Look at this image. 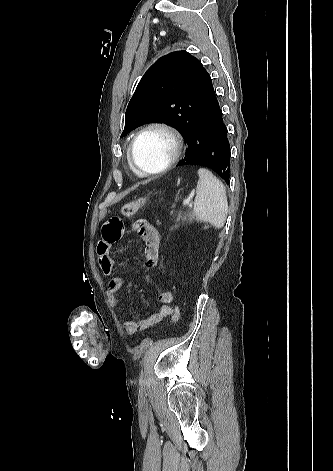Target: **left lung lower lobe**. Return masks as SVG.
Segmentation results:
<instances>
[{"label": "left lung lower lobe", "mask_w": 333, "mask_h": 471, "mask_svg": "<svg viewBox=\"0 0 333 471\" xmlns=\"http://www.w3.org/2000/svg\"><path fill=\"white\" fill-rule=\"evenodd\" d=\"M185 157L177 166L203 165L217 172L226 183L230 178V145L227 128L214 89L202 108L186 141Z\"/></svg>", "instance_id": "1"}]
</instances>
